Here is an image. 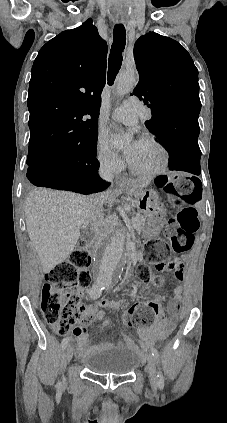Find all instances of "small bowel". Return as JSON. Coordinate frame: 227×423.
<instances>
[{"label": "small bowel", "mask_w": 227, "mask_h": 423, "mask_svg": "<svg viewBox=\"0 0 227 423\" xmlns=\"http://www.w3.org/2000/svg\"><path fill=\"white\" fill-rule=\"evenodd\" d=\"M91 292V290H90ZM83 294V291H79ZM181 288L175 289V296L167 304V311L170 314L168 318L163 312H159L152 322L151 325L141 328L138 331V335L141 339V348L147 349L151 343L157 340L165 338L175 328L178 314L181 306ZM123 305L122 301H112L102 299L97 304L89 305L85 309L83 320L73 330L74 335L77 338L78 350L81 354H85L90 351L88 345L87 325L95 320H101L100 330L105 329L109 324V319L105 316V312L99 310V308L117 309ZM123 342L135 350H139V347L128 337L123 338Z\"/></svg>", "instance_id": "small-bowel-1"}]
</instances>
